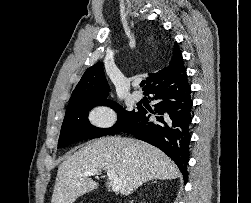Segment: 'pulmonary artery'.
<instances>
[{"label": "pulmonary artery", "instance_id": "e3ab8cb5", "mask_svg": "<svg viewBox=\"0 0 251 203\" xmlns=\"http://www.w3.org/2000/svg\"><path fill=\"white\" fill-rule=\"evenodd\" d=\"M132 96L135 101H140L143 98V95L140 91H134Z\"/></svg>", "mask_w": 251, "mask_h": 203}]
</instances>
